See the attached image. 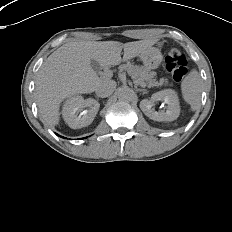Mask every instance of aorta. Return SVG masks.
Instances as JSON below:
<instances>
[{
  "mask_svg": "<svg viewBox=\"0 0 232 232\" xmlns=\"http://www.w3.org/2000/svg\"><path fill=\"white\" fill-rule=\"evenodd\" d=\"M134 97V91L129 87H123L118 91V98L122 101H131Z\"/></svg>",
  "mask_w": 232,
  "mask_h": 232,
  "instance_id": "1",
  "label": "aorta"
}]
</instances>
